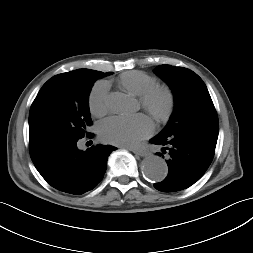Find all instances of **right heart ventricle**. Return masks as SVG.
<instances>
[{
  "label": "right heart ventricle",
  "mask_w": 253,
  "mask_h": 253,
  "mask_svg": "<svg viewBox=\"0 0 253 253\" xmlns=\"http://www.w3.org/2000/svg\"><path fill=\"white\" fill-rule=\"evenodd\" d=\"M120 86L129 93L141 96L147 90L157 85V80L153 76L142 71H128L119 77Z\"/></svg>",
  "instance_id": "obj_1"
}]
</instances>
